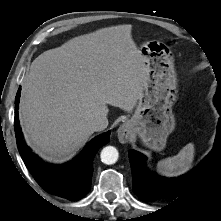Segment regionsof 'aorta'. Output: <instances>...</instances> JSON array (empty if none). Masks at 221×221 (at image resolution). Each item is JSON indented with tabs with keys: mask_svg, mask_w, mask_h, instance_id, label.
I'll return each mask as SVG.
<instances>
[{
	"mask_svg": "<svg viewBox=\"0 0 221 221\" xmlns=\"http://www.w3.org/2000/svg\"><path fill=\"white\" fill-rule=\"evenodd\" d=\"M118 150L113 146H107L102 149L100 158L104 164L111 165L118 160Z\"/></svg>",
	"mask_w": 221,
	"mask_h": 221,
	"instance_id": "obj_1",
	"label": "aorta"
}]
</instances>
